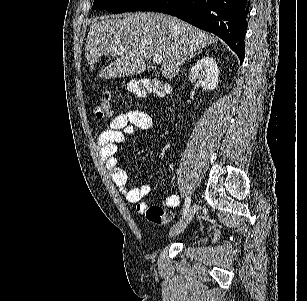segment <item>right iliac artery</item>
I'll use <instances>...</instances> for the list:
<instances>
[{
    "mask_svg": "<svg viewBox=\"0 0 307 301\" xmlns=\"http://www.w3.org/2000/svg\"><path fill=\"white\" fill-rule=\"evenodd\" d=\"M190 202H191L190 197H186L185 203H184V208H183V215H184V217L187 214V212L189 211Z\"/></svg>",
    "mask_w": 307,
    "mask_h": 301,
    "instance_id": "right-iliac-artery-1",
    "label": "right iliac artery"
}]
</instances>
